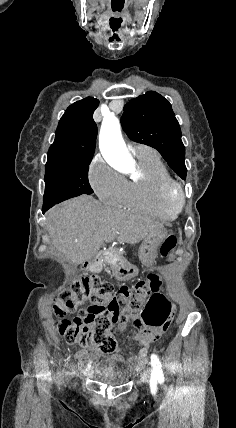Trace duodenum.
<instances>
[{"mask_svg":"<svg viewBox=\"0 0 236 428\" xmlns=\"http://www.w3.org/2000/svg\"><path fill=\"white\" fill-rule=\"evenodd\" d=\"M100 263L105 264L114 272H118L123 265L122 260L115 254L111 253L109 250H101L84 264V268L89 269Z\"/></svg>","mask_w":236,"mask_h":428,"instance_id":"1","label":"duodenum"}]
</instances>
